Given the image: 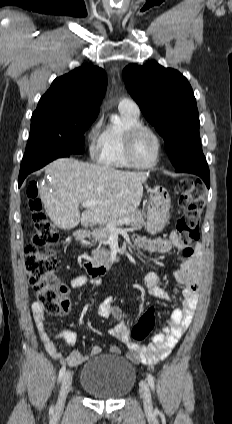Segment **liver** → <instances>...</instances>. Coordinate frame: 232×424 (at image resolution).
I'll return each mask as SVG.
<instances>
[{
    "instance_id": "1",
    "label": "liver",
    "mask_w": 232,
    "mask_h": 424,
    "mask_svg": "<svg viewBox=\"0 0 232 424\" xmlns=\"http://www.w3.org/2000/svg\"><path fill=\"white\" fill-rule=\"evenodd\" d=\"M50 185L39 187L41 201L51 221L64 230L81 225H105L140 205L146 172L120 171L106 165L60 158L47 166ZM95 201L81 215L84 201Z\"/></svg>"
}]
</instances>
